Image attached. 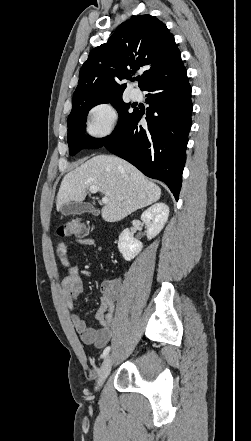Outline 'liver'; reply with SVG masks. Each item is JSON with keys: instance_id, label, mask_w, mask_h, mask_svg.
I'll return each instance as SVG.
<instances>
[{"instance_id": "1", "label": "liver", "mask_w": 251, "mask_h": 441, "mask_svg": "<svg viewBox=\"0 0 251 441\" xmlns=\"http://www.w3.org/2000/svg\"><path fill=\"white\" fill-rule=\"evenodd\" d=\"M91 186L99 187L109 198L102 208V218L107 222L120 221L161 196L160 187L127 161L97 155L64 176L57 195V211L68 202L82 203Z\"/></svg>"}]
</instances>
